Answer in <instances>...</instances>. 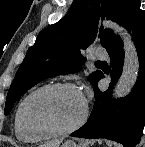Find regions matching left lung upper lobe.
I'll use <instances>...</instances> for the list:
<instances>
[{
    "instance_id": "left-lung-upper-lobe-1",
    "label": "left lung upper lobe",
    "mask_w": 145,
    "mask_h": 147,
    "mask_svg": "<svg viewBox=\"0 0 145 147\" xmlns=\"http://www.w3.org/2000/svg\"><path fill=\"white\" fill-rule=\"evenodd\" d=\"M130 1L74 0L68 14L41 31L27 51L8 91L5 115L26 91L40 81L79 71L85 62L81 52L97 39L107 49L116 36L109 29H98L95 23L100 18H107L122 25ZM101 74L97 70L89 75L93 86Z\"/></svg>"
}]
</instances>
